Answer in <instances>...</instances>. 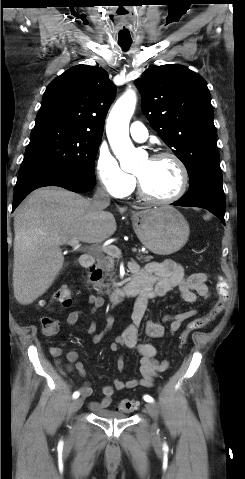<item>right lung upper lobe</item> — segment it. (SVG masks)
Wrapping results in <instances>:
<instances>
[{"mask_svg": "<svg viewBox=\"0 0 245 479\" xmlns=\"http://www.w3.org/2000/svg\"><path fill=\"white\" fill-rule=\"evenodd\" d=\"M115 88L100 67L78 65L47 87L34 128L61 127L102 137Z\"/></svg>", "mask_w": 245, "mask_h": 479, "instance_id": "cb5924a9", "label": "right lung upper lobe"}]
</instances>
